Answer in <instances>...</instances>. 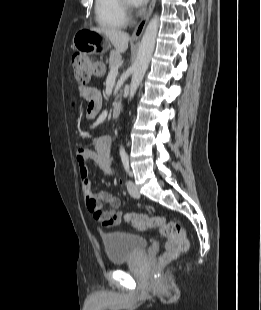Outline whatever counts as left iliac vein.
Instances as JSON below:
<instances>
[{
	"label": "left iliac vein",
	"mask_w": 261,
	"mask_h": 310,
	"mask_svg": "<svg viewBox=\"0 0 261 310\" xmlns=\"http://www.w3.org/2000/svg\"><path fill=\"white\" fill-rule=\"evenodd\" d=\"M127 189H128L129 194L133 198H139L140 197V192H139L138 187L131 180H129L127 182Z\"/></svg>",
	"instance_id": "obj_1"
}]
</instances>
